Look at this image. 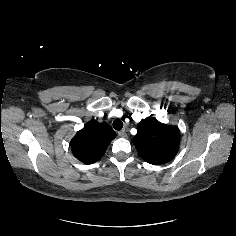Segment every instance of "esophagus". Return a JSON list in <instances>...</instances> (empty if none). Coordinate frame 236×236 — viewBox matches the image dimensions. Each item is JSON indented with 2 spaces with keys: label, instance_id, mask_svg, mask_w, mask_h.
I'll list each match as a JSON object with an SVG mask.
<instances>
[{
  "label": "esophagus",
  "instance_id": "1",
  "mask_svg": "<svg viewBox=\"0 0 236 236\" xmlns=\"http://www.w3.org/2000/svg\"><path fill=\"white\" fill-rule=\"evenodd\" d=\"M118 135H119L120 137H122V138L127 137V133H126L125 130L119 131V132H118Z\"/></svg>",
  "mask_w": 236,
  "mask_h": 236
}]
</instances>
